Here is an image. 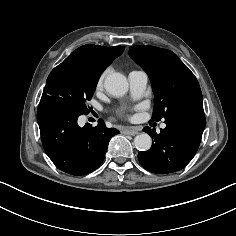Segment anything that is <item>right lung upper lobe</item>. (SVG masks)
Segmentation results:
<instances>
[{"mask_svg":"<svg viewBox=\"0 0 236 236\" xmlns=\"http://www.w3.org/2000/svg\"><path fill=\"white\" fill-rule=\"evenodd\" d=\"M124 49L123 46L103 47L87 44L72 52L64 62L81 69L102 73L115 58L122 54Z\"/></svg>","mask_w":236,"mask_h":236,"instance_id":"cb5924a9","label":"right lung upper lobe"}]
</instances>
